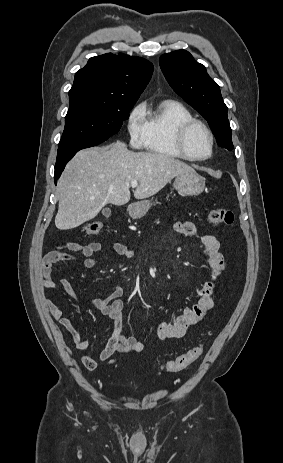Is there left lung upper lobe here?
Returning a JSON list of instances; mask_svg holds the SVG:
<instances>
[{
    "instance_id": "obj_1",
    "label": "left lung upper lobe",
    "mask_w": 283,
    "mask_h": 463,
    "mask_svg": "<svg viewBox=\"0 0 283 463\" xmlns=\"http://www.w3.org/2000/svg\"><path fill=\"white\" fill-rule=\"evenodd\" d=\"M159 62L169 85L208 121L218 145L232 150L227 106L219 85L207 74L205 66L185 50L164 54Z\"/></svg>"
}]
</instances>
